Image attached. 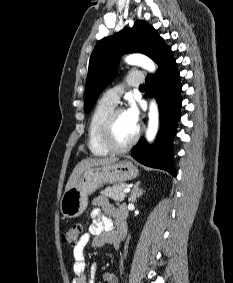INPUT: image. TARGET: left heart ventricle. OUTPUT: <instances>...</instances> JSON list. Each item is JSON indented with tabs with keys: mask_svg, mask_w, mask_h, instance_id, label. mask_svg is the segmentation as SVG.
<instances>
[{
	"mask_svg": "<svg viewBox=\"0 0 233 283\" xmlns=\"http://www.w3.org/2000/svg\"><path fill=\"white\" fill-rule=\"evenodd\" d=\"M136 129L137 126L131 122L125 111L121 112L116 117L113 126V142L118 146L127 144L134 136Z\"/></svg>",
	"mask_w": 233,
	"mask_h": 283,
	"instance_id": "left-heart-ventricle-1",
	"label": "left heart ventricle"
}]
</instances>
